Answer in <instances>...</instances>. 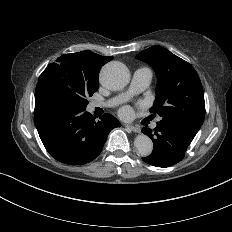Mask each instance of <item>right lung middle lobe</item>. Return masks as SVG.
I'll return each instance as SVG.
<instances>
[{
	"mask_svg": "<svg viewBox=\"0 0 232 232\" xmlns=\"http://www.w3.org/2000/svg\"><path fill=\"white\" fill-rule=\"evenodd\" d=\"M98 90V78L88 77L58 63H50L38 79L35 94L49 93L64 102L86 108L87 97Z\"/></svg>",
	"mask_w": 232,
	"mask_h": 232,
	"instance_id": "right-lung-middle-lobe-1",
	"label": "right lung middle lobe"
}]
</instances>
